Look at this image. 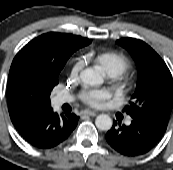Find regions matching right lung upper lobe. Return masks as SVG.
<instances>
[{"label":"right lung upper lobe","mask_w":173,"mask_h":170,"mask_svg":"<svg viewBox=\"0 0 173 170\" xmlns=\"http://www.w3.org/2000/svg\"><path fill=\"white\" fill-rule=\"evenodd\" d=\"M91 43L81 36L46 33L26 44L9 71L7 102L10 117L34 109L50 108V93L68 58Z\"/></svg>","instance_id":"cb5924a9"}]
</instances>
